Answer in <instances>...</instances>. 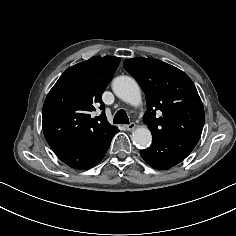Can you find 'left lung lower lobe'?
Instances as JSON below:
<instances>
[{
    "instance_id": "obj_1",
    "label": "left lung lower lobe",
    "mask_w": 236,
    "mask_h": 236,
    "mask_svg": "<svg viewBox=\"0 0 236 236\" xmlns=\"http://www.w3.org/2000/svg\"><path fill=\"white\" fill-rule=\"evenodd\" d=\"M198 138L167 137L154 138L152 145L141 150L144 161L156 169H169L183 161L194 149Z\"/></svg>"
}]
</instances>
